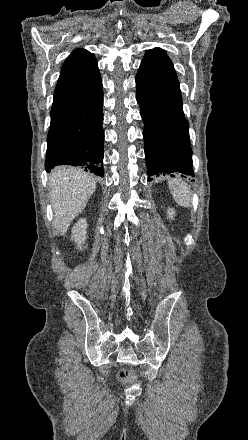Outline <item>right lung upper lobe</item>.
<instances>
[{
	"label": "right lung upper lobe",
	"mask_w": 248,
	"mask_h": 440,
	"mask_svg": "<svg viewBox=\"0 0 248 440\" xmlns=\"http://www.w3.org/2000/svg\"><path fill=\"white\" fill-rule=\"evenodd\" d=\"M100 79L94 55L84 49H76L65 60L54 96L85 89Z\"/></svg>",
	"instance_id": "1"
}]
</instances>
